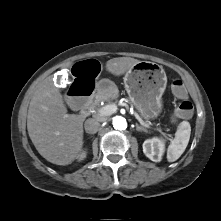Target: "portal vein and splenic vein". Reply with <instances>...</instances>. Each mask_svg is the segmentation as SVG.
Wrapping results in <instances>:
<instances>
[{
  "instance_id": "1",
  "label": "portal vein and splenic vein",
  "mask_w": 221,
  "mask_h": 221,
  "mask_svg": "<svg viewBox=\"0 0 221 221\" xmlns=\"http://www.w3.org/2000/svg\"><path fill=\"white\" fill-rule=\"evenodd\" d=\"M116 111H117V106L115 104H110V105H106L102 107L101 109H99L98 112L100 116H108V115L115 113ZM134 116L140 122L141 125L148 127L145 124V122L139 117L138 114H134Z\"/></svg>"
}]
</instances>
